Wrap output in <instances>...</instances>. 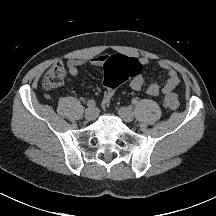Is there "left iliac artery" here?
Masks as SVG:
<instances>
[{"instance_id": "obj_1", "label": "left iliac artery", "mask_w": 216, "mask_h": 216, "mask_svg": "<svg viewBox=\"0 0 216 216\" xmlns=\"http://www.w3.org/2000/svg\"><path fill=\"white\" fill-rule=\"evenodd\" d=\"M137 103V99L136 98H133L132 99V104H136Z\"/></svg>"}]
</instances>
